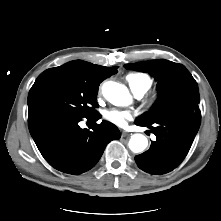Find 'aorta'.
<instances>
[{"instance_id": "762f6f07", "label": "aorta", "mask_w": 221, "mask_h": 221, "mask_svg": "<svg viewBox=\"0 0 221 221\" xmlns=\"http://www.w3.org/2000/svg\"><path fill=\"white\" fill-rule=\"evenodd\" d=\"M104 97L115 106H124L131 101L128 89L117 82L108 81L102 87ZM148 145L147 138L142 134H134L129 140V148L134 153H140Z\"/></svg>"}]
</instances>
